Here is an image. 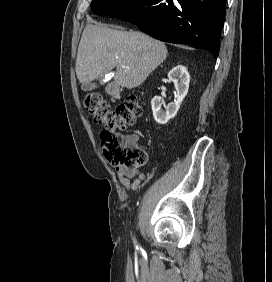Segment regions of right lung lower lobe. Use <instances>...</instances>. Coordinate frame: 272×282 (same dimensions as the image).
<instances>
[{
	"label": "right lung lower lobe",
	"mask_w": 272,
	"mask_h": 282,
	"mask_svg": "<svg viewBox=\"0 0 272 282\" xmlns=\"http://www.w3.org/2000/svg\"><path fill=\"white\" fill-rule=\"evenodd\" d=\"M225 6L226 0H138L111 15L161 41L186 43L217 57Z\"/></svg>",
	"instance_id": "98d812e1"
}]
</instances>
